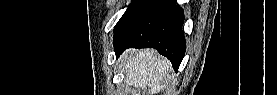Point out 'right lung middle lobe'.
Returning <instances> with one entry per match:
<instances>
[{"instance_id": "1", "label": "right lung middle lobe", "mask_w": 277, "mask_h": 95, "mask_svg": "<svg viewBox=\"0 0 277 95\" xmlns=\"http://www.w3.org/2000/svg\"><path fill=\"white\" fill-rule=\"evenodd\" d=\"M147 0H134L127 8L126 12L120 18L118 23L114 28V32L140 7L142 6Z\"/></svg>"}]
</instances>
